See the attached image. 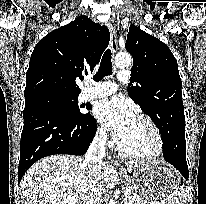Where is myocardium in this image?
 Here are the masks:
<instances>
[{
    "instance_id": "1",
    "label": "myocardium",
    "mask_w": 206,
    "mask_h": 204,
    "mask_svg": "<svg viewBox=\"0 0 206 204\" xmlns=\"http://www.w3.org/2000/svg\"><path fill=\"white\" fill-rule=\"evenodd\" d=\"M136 117L145 121L149 125V127L152 129V131L155 135V138H156V143H157L155 151L151 154H145V155L136 154V153L129 151L124 146L122 140L119 142V150L123 155H125L129 158H132V159L142 160V161L155 160V159L159 158L164 153L165 143H164L162 133H161L159 127L157 126V124L148 115L143 114V113H138V114H136Z\"/></svg>"
}]
</instances>
